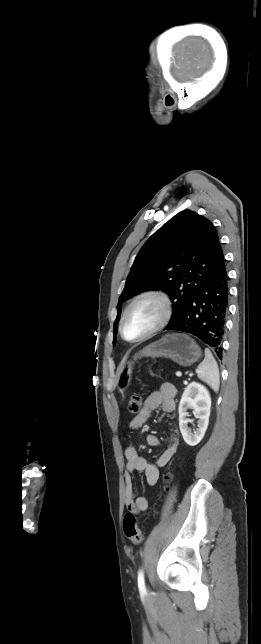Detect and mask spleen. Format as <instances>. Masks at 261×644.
<instances>
[{
  "label": "spleen",
  "instance_id": "3e777b00",
  "mask_svg": "<svg viewBox=\"0 0 261 644\" xmlns=\"http://www.w3.org/2000/svg\"><path fill=\"white\" fill-rule=\"evenodd\" d=\"M197 376L215 392H218L220 386L219 369L209 349H205V358L197 368Z\"/></svg>",
  "mask_w": 261,
  "mask_h": 644
}]
</instances>
